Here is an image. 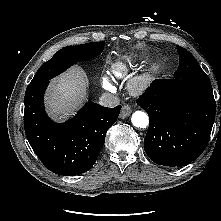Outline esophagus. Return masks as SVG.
<instances>
[{
	"label": "esophagus",
	"instance_id": "esophagus-1",
	"mask_svg": "<svg viewBox=\"0 0 221 221\" xmlns=\"http://www.w3.org/2000/svg\"><path fill=\"white\" fill-rule=\"evenodd\" d=\"M131 112H132V110H131L130 106L124 105L121 109L119 117L121 119H125L126 117H128L131 114Z\"/></svg>",
	"mask_w": 221,
	"mask_h": 221
}]
</instances>
